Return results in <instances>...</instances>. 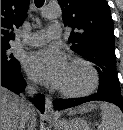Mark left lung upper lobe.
Masks as SVG:
<instances>
[{
	"mask_svg": "<svg viewBox=\"0 0 123 130\" xmlns=\"http://www.w3.org/2000/svg\"><path fill=\"white\" fill-rule=\"evenodd\" d=\"M65 26L72 27L69 43L77 54L96 65L98 92L123 103L116 75L114 24L105 0H58Z\"/></svg>",
	"mask_w": 123,
	"mask_h": 130,
	"instance_id": "left-lung-upper-lobe-1",
	"label": "left lung upper lobe"
}]
</instances>
